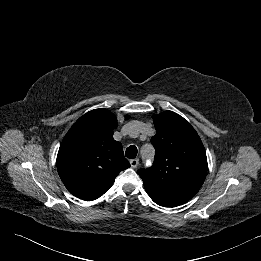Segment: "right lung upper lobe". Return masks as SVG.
Here are the masks:
<instances>
[{
    "instance_id": "1",
    "label": "right lung upper lobe",
    "mask_w": 261,
    "mask_h": 261,
    "mask_svg": "<svg viewBox=\"0 0 261 261\" xmlns=\"http://www.w3.org/2000/svg\"><path fill=\"white\" fill-rule=\"evenodd\" d=\"M129 119V116H126ZM115 115L95 109L80 117L65 135L57 155V170L68 189L86 201L98 199L130 163L122 145L113 139Z\"/></svg>"
}]
</instances>
